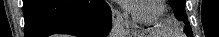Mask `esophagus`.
<instances>
[{
    "instance_id": "esophagus-1",
    "label": "esophagus",
    "mask_w": 219,
    "mask_h": 37,
    "mask_svg": "<svg viewBox=\"0 0 219 37\" xmlns=\"http://www.w3.org/2000/svg\"><path fill=\"white\" fill-rule=\"evenodd\" d=\"M112 21L114 25H116L117 23L123 22L122 15L120 11H118L117 9H112Z\"/></svg>"
}]
</instances>
